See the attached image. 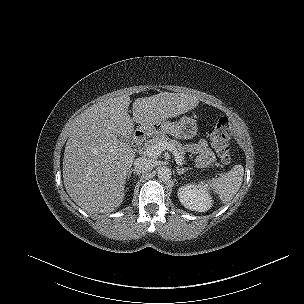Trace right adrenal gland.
<instances>
[{"instance_id":"obj_1","label":"right adrenal gland","mask_w":304,"mask_h":304,"mask_svg":"<svg viewBox=\"0 0 304 304\" xmlns=\"http://www.w3.org/2000/svg\"><path fill=\"white\" fill-rule=\"evenodd\" d=\"M132 173H133V174H136V176H137V175L140 176V173L136 172L134 169H129V170H128V174H127V180L130 179Z\"/></svg>"}]
</instances>
